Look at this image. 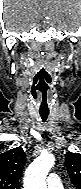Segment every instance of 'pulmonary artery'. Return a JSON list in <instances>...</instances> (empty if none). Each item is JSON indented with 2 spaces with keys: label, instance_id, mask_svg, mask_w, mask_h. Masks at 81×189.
<instances>
[{
  "label": "pulmonary artery",
  "instance_id": "pulmonary-artery-1",
  "mask_svg": "<svg viewBox=\"0 0 81 189\" xmlns=\"http://www.w3.org/2000/svg\"><path fill=\"white\" fill-rule=\"evenodd\" d=\"M46 181L49 189H63L62 181L56 174H50Z\"/></svg>",
  "mask_w": 81,
  "mask_h": 189
}]
</instances>
